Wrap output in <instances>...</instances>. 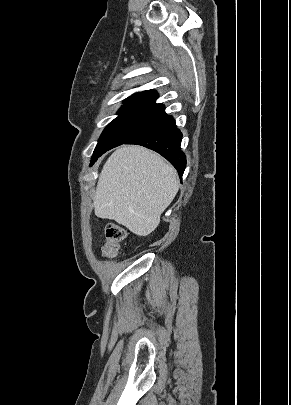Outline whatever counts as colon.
I'll return each mask as SVG.
<instances>
[{
  "mask_svg": "<svg viewBox=\"0 0 291 405\" xmlns=\"http://www.w3.org/2000/svg\"><path fill=\"white\" fill-rule=\"evenodd\" d=\"M105 237L106 241L102 248V254L107 258H115L126 237V232L118 224L109 223L105 227Z\"/></svg>",
  "mask_w": 291,
  "mask_h": 405,
  "instance_id": "colon-1",
  "label": "colon"
}]
</instances>
